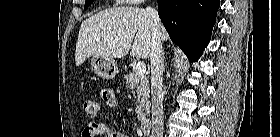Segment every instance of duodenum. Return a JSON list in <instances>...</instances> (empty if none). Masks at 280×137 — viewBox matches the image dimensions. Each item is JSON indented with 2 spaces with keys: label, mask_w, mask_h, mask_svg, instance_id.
Masks as SVG:
<instances>
[{
  "label": "duodenum",
  "mask_w": 280,
  "mask_h": 137,
  "mask_svg": "<svg viewBox=\"0 0 280 137\" xmlns=\"http://www.w3.org/2000/svg\"><path fill=\"white\" fill-rule=\"evenodd\" d=\"M151 129H152V121L150 119H146L140 124V130L144 134H150Z\"/></svg>",
  "instance_id": "obj_1"
}]
</instances>
